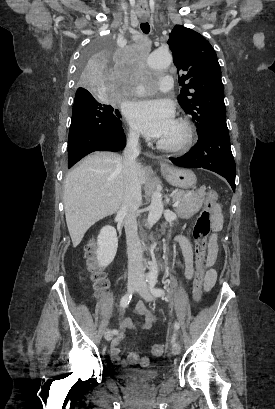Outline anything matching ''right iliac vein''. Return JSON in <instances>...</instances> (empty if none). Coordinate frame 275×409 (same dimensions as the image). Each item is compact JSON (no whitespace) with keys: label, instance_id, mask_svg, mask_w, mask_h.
I'll return each instance as SVG.
<instances>
[{"label":"right iliac vein","instance_id":"right-iliac-vein-1","mask_svg":"<svg viewBox=\"0 0 275 409\" xmlns=\"http://www.w3.org/2000/svg\"><path fill=\"white\" fill-rule=\"evenodd\" d=\"M140 286V283L138 282H134V281H130L127 284V289L129 293L134 292L136 289H138V287ZM113 337L112 331L110 329H107L105 332V339L107 341H110Z\"/></svg>","mask_w":275,"mask_h":409}]
</instances>
